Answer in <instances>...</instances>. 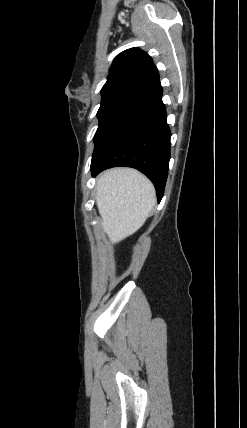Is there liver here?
I'll return each mask as SVG.
<instances>
[{"label":"liver","instance_id":"obj_1","mask_svg":"<svg viewBox=\"0 0 247 428\" xmlns=\"http://www.w3.org/2000/svg\"><path fill=\"white\" fill-rule=\"evenodd\" d=\"M155 201L153 184L135 169L114 168L97 178L96 204L112 244L135 233L145 223Z\"/></svg>","mask_w":247,"mask_h":428}]
</instances>
